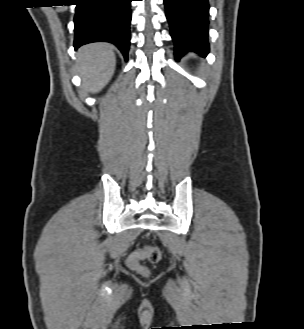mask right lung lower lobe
<instances>
[{"instance_id":"right-lung-lower-lobe-1","label":"right lung lower lobe","mask_w":304,"mask_h":329,"mask_svg":"<svg viewBox=\"0 0 304 329\" xmlns=\"http://www.w3.org/2000/svg\"><path fill=\"white\" fill-rule=\"evenodd\" d=\"M132 0H76L74 48L97 41L113 43L128 59Z\"/></svg>"}]
</instances>
